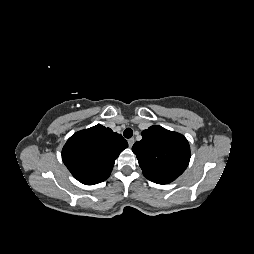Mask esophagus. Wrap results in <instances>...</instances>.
I'll list each match as a JSON object with an SVG mask.
<instances>
[{
	"label": "esophagus",
	"mask_w": 254,
	"mask_h": 254,
	"mask_svg": "<svg viewBox=\"0 0 254 254\" xmlns=\"http://www.w3.org/2000/svg\"><path fill=\"white\" fill-rule=\"evenodd\" d=\"M134 142H135L134 138H130V139H128V144H129V147H132V146H133V144H134Z\"/></svg>",
	"instance_id": "obj_1"
}]
</instances>
